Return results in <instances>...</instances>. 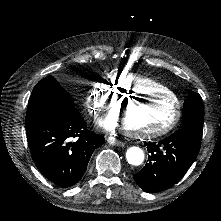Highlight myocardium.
<instances>
[{
    "label": "myocardium",
    "instance_id": "obj_1",
    "mask_svg": "<svg viewBox=\"0 0 221 221\" xmlns=\"http://www.w3.org/2000/svg\"><path fill=\"white\" fill-rule=\"evenodd\" d=\"M155 99H161V100H167L171 104V112L172 116L168 118L166 121H163L162 123H153L149 124L148 126H145L143 128V131L139 130H132V129H120L119 125L115 123L114 114L116 113L119 108H123L129 104L133 103H142L145 101H151ZM109 123L112 124V128L114 131L117 132V134L122 135V136H134V137H140V138H157L161 137L163 134H167L174 126L177 124L176 123V117L178 114V103L175 100V98L170 94L166 93L163 91H151L147 90L146 92H140L139 94H133L131 97L125 99V101L119 102V104L114 105L111 107L109 111Z\"/></svg>",
    "mask_w": 221,
    "mask_h": 221
}]
</instances>
